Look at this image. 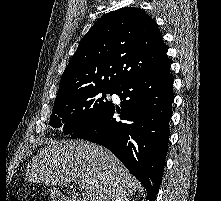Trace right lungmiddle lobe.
<instances>
[{
    "label": "right lung middle lobe",
    "mask_w": 221,
    "mask_h": 201,
    "mask_svg": "<svg viewBox=\"0 0 221 201\" xmlns=\"http://www.w3.org/2000/svg\"><path fill=\"white\" fill-rule=\"evenodd\" d=\"M114 89L93 88L58 98L54 102L50 125L63 128L64 134H72L85 126L112 103L107 94H114Z\"/></svg>",
    "instance_id": "dd1d6c3e"
}]
</instances>
